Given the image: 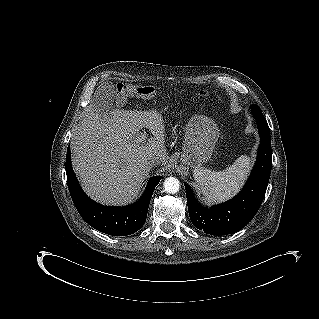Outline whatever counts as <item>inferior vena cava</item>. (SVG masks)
I'll list each match as a JSON object with an SVG mask.
<instances>
[{
	"label": "inferior vena cava",
	"mask_w": 319,
	"mask_h": 319,
	"mask_svg": "<svg viewBox=\"0 0 319 319\" xmlns=\"http://www.w3.org/2000/svg\"><path fill=\"white\" fill-rule=\"evenodd\" d=\"M162 162L160 156H152L148 159L147 164L151 167H154L156 165H160Z\"/></svg>",
	"instance_id": "602c4592"
}]
</instances>
